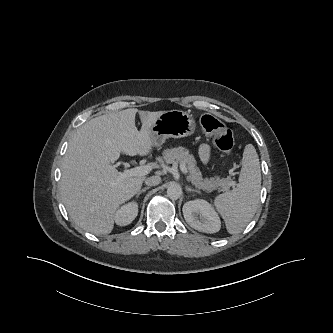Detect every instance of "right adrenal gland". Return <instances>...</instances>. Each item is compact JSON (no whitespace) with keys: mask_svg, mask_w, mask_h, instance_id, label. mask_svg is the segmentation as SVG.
Returning a JSON list of instances; mask_svg holds the SVG:
<instances>
[{"mask_svg":"<svg viewBox=\"0 0 333 333\" xmlns=\"http://www.w3.org/2000/svg\"><path fill=\"white\" fill-rule=\"evenodd\" d=\"M150 189V186H147L137 192V197H139L140 194L144 193L146 190Z\"/></svg>","mask_w":333,"mask_h":333,"instance_id":"obj_1","label":"right adrenal gland"}]
</instances>
